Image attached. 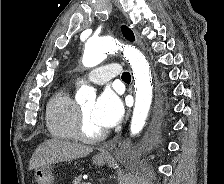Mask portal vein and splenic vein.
<instances>
[{
  "instance_id": "1",
  "label": "portal vein and splenic vein",
  "mask_w": 224,
  "mask_h": 184,
  "mask_svg": "<svg viewBox=\"0 0 224 184\" xmlns=\"http://www.w3.org/2000/svg\"><path fill=\"white\" fill-rule=\"evenodd\" d=\"M85 184H91V182H87V183H85Z\"/></svg>"
}]
</instances>
